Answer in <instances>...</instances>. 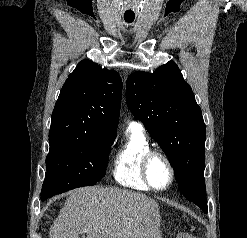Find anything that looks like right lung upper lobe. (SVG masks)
<instances>
[{"instance_id": "cb5924a9", "label": "right lung upper lobe", "mask_w": 247, "mask_h": 238, "mask_svg": "<svg viewBox=\"0 0 247 238\" xmlns=\"http://www.w3.org/2000/svg\"><path fill=\"white\" fill-rule=\"evenodd\" d=\"M122 80L115 71L81 61L56 101L49 136L95 132L116 138Z\"/></svg>"}]
</instances>
